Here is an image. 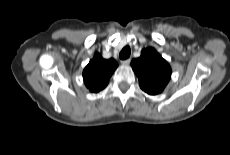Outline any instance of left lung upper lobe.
<instances>
[{"label":"left lung upper lobe","mask_w":230,"mask_h":155,"mask_svg":"<svg viewBox=\"0 0 230 155\" xmlns=\"http://www.w3.org/2000/svg\"><path fill=\"white\" fill-rule=\"evenodd\" d=\"M131 66L138 76L140 88L149 95L161 93L171 77L169 63L154 48H146L133 59Z\"/></svg>","instance_id":"5c2ea615"}]
</instances>
